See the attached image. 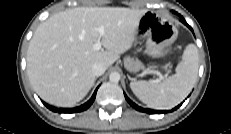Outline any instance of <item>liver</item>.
Here are the masks:
<instances>
[{"instance_id":"obj_1","label":"liver","mask_w":231,"mask_h":134,"mask_svg":"<svg viewBox=\"0 0 231 134\" xmlns=\"http://www.w3.org/2000/svg\"><path fill=\"white\" fill-rule=\"evenodd\" d=\"M146 10L124 7H77L50 16L36 29L27 51V74L45 102L70 107L81 101L95 82L92 65L110 67L129 50ZM105 34L100 38L98 28ZM101 40L103 49L93 45Z\"/></svg>"}]
</instances>
